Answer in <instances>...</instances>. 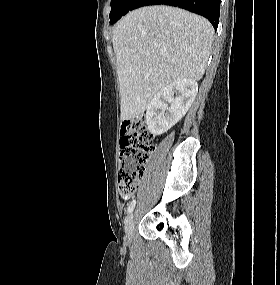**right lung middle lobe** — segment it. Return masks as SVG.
<instances>
[{
	"instance_id": "obj_1",
	"label": "right lung middle lobe",
	"mask_w": 280,
	"mask_h": 285,
	"mask_svg": "<svg viewBox=\"0 0 280 285\" xmlns=\"http://www.w3.org/2000/svg\"><path fill=\"white\" fill-rule=\"evenodd\" d=\"M137 0H112L111 1V12H110V23L113 24L118 21L128 11L132 10Z\"/></svg>"
}]
</instances>
